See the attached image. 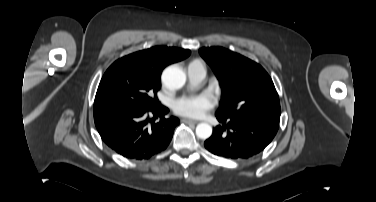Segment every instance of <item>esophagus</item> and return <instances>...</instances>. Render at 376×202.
Masks as SVG:
<instances>
[{"mask_svg": "<svg viewBox=\"0 0 376 202\" xmlns=\"http://www.w3.org/2000/svg\"><path fill=\"white\" fill-rule=\"evenodd\" d=\"M182 121L185 122V123H192V124H197L198 123V121L192 120V119H188V118H183Z\"/></svg>", "mask_w": 376, "mask_h": 202, "instance_id": "obj_1", "label": "esophagus"}]
</instances>
